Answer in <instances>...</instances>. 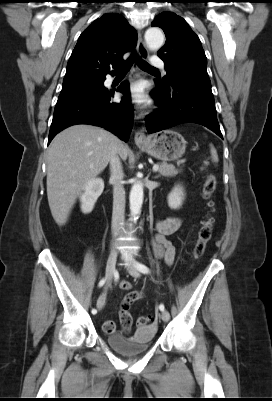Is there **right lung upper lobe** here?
Segmentation results:
<instances>
[{
    "instance_id": "cb5924a9",
    "label": "right lung upper lobe",
    "mask_w": 272,
    "mask_h": 401,
    "mask_svg": "<svg viewBox=\"0 0 272 401\" xmlns=\"http://www.w3.org/2000/svg\"><path fill=\"white\" fill-rule=\"evenodd\" d=\"M137 33L119 14H104L80 35L67 64L62 90L74 89L105 80L132 50ZM115 68L110 71V66Z\"/></svg>"
}]
</instances>
